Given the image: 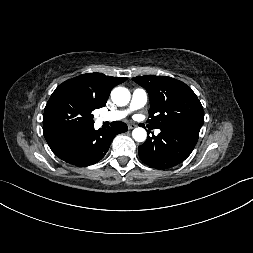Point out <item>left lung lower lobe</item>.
<instances>
[{"label": "left lung lower lobe", "instance_id": "0a47b994", "mask_svg": "<svg viewBox=\"0 0 253 253\" xmlns=\"http://www.w3.org/2000/svg\"><path fill=\"white\" fill-rule=\"evenodd\" d=\"M158 136H148L138 147L140 159L148 166L167 169L183 162L193 151L199 131L160 129Z\"/></svg>", "mask_w": 253, "mask_h": 253}]
</instances>
